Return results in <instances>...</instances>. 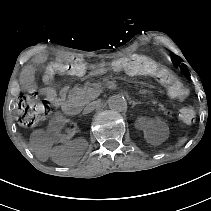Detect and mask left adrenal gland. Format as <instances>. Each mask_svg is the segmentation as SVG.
<instances>
[{
    "mask_svg": "<svg viewBox=\"0 0 211 211\" xmlns=\"http://www.w3.org/2000/svg\"><path fill=\"white\" fill-rule=\"evenodd\" d=\"M132 103V107H135V105L140 104V102H136V101H131Z\"/></svg>",
    "mask_w": 211,
    "mask_h": 211,
    "instance_id": "1",
    "label": "left adrenal gland"
}]
</instances>
